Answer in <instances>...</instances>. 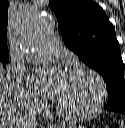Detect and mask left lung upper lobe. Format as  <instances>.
Wrapping results in <instances>:
<instances>
[{"instance_id": "1", "label": "left lung upper lobe", "mask_w": 125, "mask_h": 128, "mask_svg": "<svg viewBox=\"0 0 125 128\" xmlns=\"http://www.w3.org/2000/svg\"><path fill=\"white\" fill-rule=\"evenodd\" d=\"M65 44L99 72L108 88L105 108L125 107L124 64L113 25L91 0H50Z\"/></svg>"}]
</instances>
